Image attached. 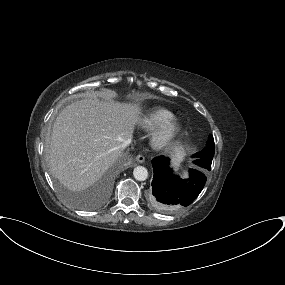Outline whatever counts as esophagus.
Segmentation results:
<instances>
[{
  "label": "esophagus",
  "mask_w": 285,
  "mask_h": 285,
  "mask_svg": "<svg viewBox=\"0 0 285 285\" xmlns=\"http://www.w3.org/2000/svg\"><path fill=\"white\" fill-rule=\"evenodd\" d=\"M136 161L139 163H143L145 161V157L141 154L136 156Z\"/></svg>",
  "instance_id": "1"
}]
</instances>
